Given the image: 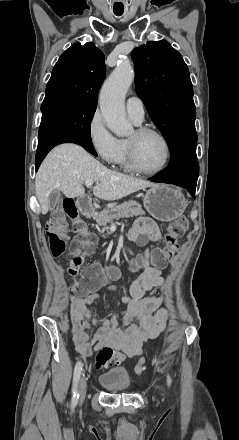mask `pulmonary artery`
<instances>
[{
    "mask_svg": "<svg viewBox=\"0 0 239 440\" xmlns=\"http://www.w3.org/2000/svg\"><path fill=\"white\" fill-rule=\"evenodd\" d=\"M126 110L128 116L136 123L140 124L144 120V104L142 100L136 96H131L126 101Z\"/></svg>",
    "mask_w": 239,
    "mask_h": 440,
    "instance_id": "1",
    "label": "pulmonary artery"
}]
</instances>
